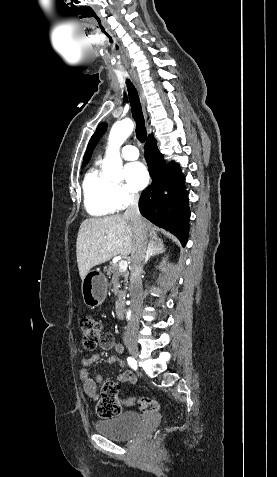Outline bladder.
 I'll use <instances>...</instances> for the list:
<instances>
[{
    "instance_id": "obj_1",
    "label": "bladder",
    "mask_w": 277,
    "mask_h": 477,
    "mask_svg": "<svg viewBox=\"0 0 277 477\" xmlns=\"http://www.w3.org/2000/svg\"><path fill=\"white\" fill-rule=\"evenodd\" d=\"M142 425V416L135 411H124L95 422L96 431L113 440H125L135 435Z\"/></svg>"
}]
</instances>
